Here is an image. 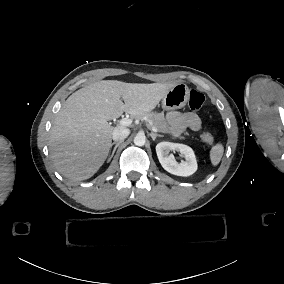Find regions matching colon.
I'll use <instances>...</instances> for the list:
<instances>
[{"instance_id":"1","label":"colon","mask_w":284,"mask_h":284,"mask_svg":"<svg viewBox=\"0 0 284 284\" xmlns=\"http://www.w3.org/2000/svg\"><path fill=\"white\" fill-rule=\"evenodd\" d=\"M204 102H205L204 95L200 91L196 89L190 90L189 100H188V104L190 108L200 109L204 105ZM202 139L206 143H211L213 141V136L212 134L206 132L202 135Z\"/></svg>"}]
</instances>
